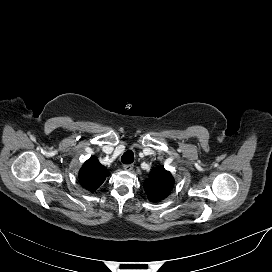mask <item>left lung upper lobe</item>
I'll use <instances>...</instances> for the list:
<instances>
[{"mask_svg":"<svg viewBox=\"0 0 272 272\" xmlns=\"http://www.w3.org/2000/svg\"><path fill=\"white\" fill-rule=\"evenodd\" d=\"M174 186V180L169 171L157 167L150 172L149 178L144 183L145 192L151 202L166 198Z\"/></svg>","mask_w":272,"mask_h":272,"instance_id":"1","label":"left lung upper lobe"}]
</instances>
